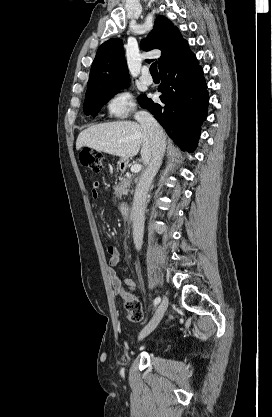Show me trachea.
Returning <instances> with one entry per match:
<instances>
[{
	"label": "trachea",
	"instance_id": "3493384b",
	"mask_svg": "<svg viewBox=\"0 0 272 417\" xmlns=\"http://www.w3.org/2000/svg\"><path fill=\"white\" fill-rule=\"evenodd\" d=\"M150 73L151 75H158L157 62L152 63L150 66Z\"/></svg>",
	"mask_w": 272,
	"mask_h": 417
}]
</instances>
